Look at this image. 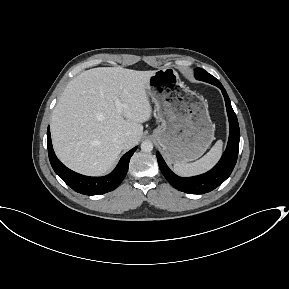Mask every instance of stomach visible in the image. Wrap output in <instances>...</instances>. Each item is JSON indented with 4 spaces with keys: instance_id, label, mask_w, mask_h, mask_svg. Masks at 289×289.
<instances>
[{
    "instance_id": "1",
    "label": "stomach",
    "mask_w": 289,
    "mask_h": 289,
    "mask_svg": "<svg viewBox=\"0 0 289 289\" xmlns=\"http://www.w3.org/2000/svg\"><path fill=\"white\" fill-rule=\"evenodd\" d=\"M161 125L153 136L170 163L198 159L214 140L207 103L191 91L173 68L156 70L147 83Z\"/></svg>"
}]
</instances>
